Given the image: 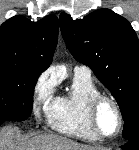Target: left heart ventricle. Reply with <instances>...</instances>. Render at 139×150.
<instances>
[{
    "mask_svg": "<svg viewBox=\"0 0 139 150\" xmlns=\"http://www.w3.org/2000/svg\"><path fill=\"white\" fill-rule=\"evenodd\" d=\"M97 123L102 133L113 135L118 127V118L113 106L108 102H103L97 113Z\"/></svg>",
    "mask_w": 139,
    "mask_h": 150,
    "instance_id": "obj_1",
    "label": "left heart ventricle"
}]
</instances>
